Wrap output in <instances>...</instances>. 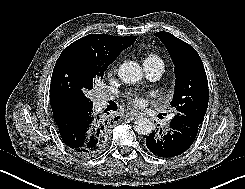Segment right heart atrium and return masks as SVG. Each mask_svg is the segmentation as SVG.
Here are the masks:
<instances>
[{
    "instance_id": "obj_1",
    "label": "right heart atrium",
    "mask_w": 245,
    "mask_h": 189,
    "mask_svg": "<svg viewBox=\"0 0 245 189\" xmlns=\"http://www.w3.org/2000/svg\"><path fill=\"white\" fill-rule=\"evenodd\" d=\"M116 69H117V64H116V62H115V63H113V64L110 66V70H111L112 72H115Z\"/></svg>"
}]
</instances>
